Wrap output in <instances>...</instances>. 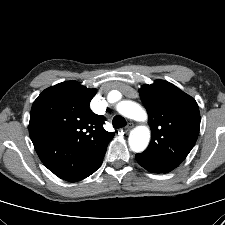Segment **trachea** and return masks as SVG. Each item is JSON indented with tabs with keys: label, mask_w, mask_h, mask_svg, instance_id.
<instances>
[{
	"label": "trachea",
	"mask_w": 225,
	"mask_h": 225,
	"mask_svg": "<svg viewBox=\"0 0 225 225\" xmlns=\"http://www.w3.org/2000/svg\"><path fill=\"white\" fill-rule=\"evenodd\" d=\"M112 124H113L114 128L118 129V128H122V127L126 126L127 122L122 116L116 115L113 118Z\"/></svg>",
	"instance_id": "1"
}]
</instances>
